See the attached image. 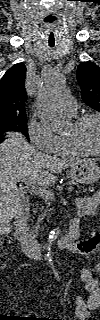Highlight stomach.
<instances>
[{
    "label": "stomach",
    "instance_id": "obj_1",
    "mask_svg": "<svg viewBox=\"0 0 100 320\" xmlns=\"http://www.w3.org/2000/svg\"><path fill=\"white\" fill-rule=\"evenodd\" d=\"M71 179L81 184H92L100 178V167L92 159H83L70 167Z\"/></svg>",
    "mask_w": 100,
    "mask_h": 320
}]
</instances>
